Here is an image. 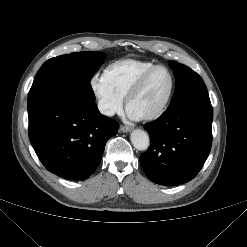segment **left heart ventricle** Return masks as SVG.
<instances>
[{
    "instance_id": "b2bd125f",
    "label": "left heart ventricle",
    "mask_w": 247,
    "mask_h": 247,
    "mask_svg": "<svg viewBox=\"0 0 247 247\" xmlns=\"http://www.w3.org/2000/svg\"><path fill=\"white\" fill-rule=\"evenodd\" d=\"M170 86L168 73L164 69L156 70L149 78L144 90L131 103V110L139 115L148 113L165 98Z\"/></svg>"
}]
</instances>
